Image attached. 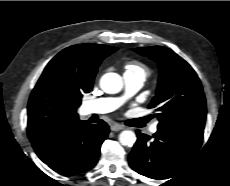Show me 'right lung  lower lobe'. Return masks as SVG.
<instances>
[{
	"label": "right lung lower lobe",
	"mask_w": 230,
	"mask_h": 186,
	"mask_svg": "<svg viewBox=\"0 0 230 186\" xmlns=\"http://www.w3.org/2000/svg\"><path fill=\"white\" fill-rule=\"evenodd\" d=\"M108 133L109 126L102 120L96 125L79 121L32 145L38 157L54 171L79 174L96 165Z\"/></svg>",
	"instance_id": "obj_1"
}]
</instances>
